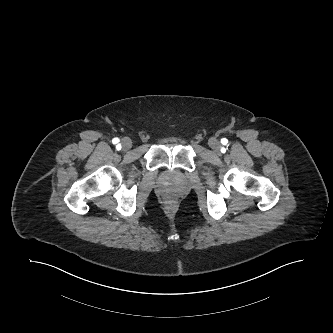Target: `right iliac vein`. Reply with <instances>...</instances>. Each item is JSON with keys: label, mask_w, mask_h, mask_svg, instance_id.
Returning a JSON list of instances; mask_svg holds the SVG:
<instances>
[{"label": "right iliac vein", "mask_w": 333, "mask_h": 333, "mask_svg": "<svg viewBox=\"0 0 333 333\" xmlns=\"http://www.w3.org/2000/svg\"><path fill=\"white\" fill-rule=\"evenodd\" d=\"M121 147L124 151H128L132 147V141L130 138H123L121 140Z\"/></svg>", "instance_id": "right-iliac-vein-1"}]
</instances>
